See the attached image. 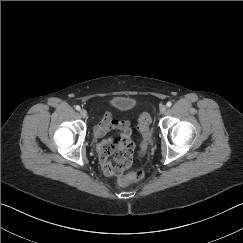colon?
Returning a JSON list of instances; mask_svg holds the SVG:
<instances>
[{
  "instance_id": "obj_1",
  "label": "colon",
  "mask_w": 243,
  "mask_h": 243,
  "mask_svg": "<svg viewBox=\"0 0 243 243\" xmlns=\"http://www.w3.org/2000/svg\"><path fill=\"white\" fill-rule=\"evenodd\" d=\"M151 118L147 112H144L138 122V131L142 136V146L147 148L151 142V131H150ZM144 177V171L142 168H137L129 171L125 175L121 176L117 180L119 186H127L128 184L141 180Z\"/></svg>"
}]
</instances>
